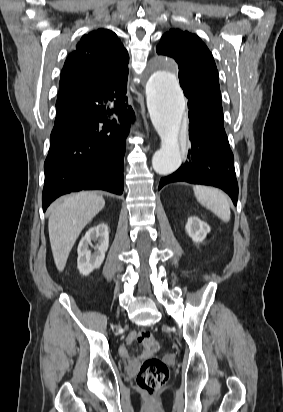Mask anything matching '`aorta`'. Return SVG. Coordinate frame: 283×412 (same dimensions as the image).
I'll use <instances>...</instances> for the list:
<instances>
[{"mask_svg":"<svg viewBox=\"0 0 283 412\" xmlns=\"http://www.w3.org/2000/svg\"><path fill=\"white\" fill-rule=\"evenodd\" d=\"M159 60L146 84L147 108L161 138V147L152 158L156 173L169 175L182 163L181 138L185 134V100L172 66Z\"/></svg>","mask_w":283,"mask_h":412,"instance_id":"762f6f07","label":"aorta"}]
</instances>
